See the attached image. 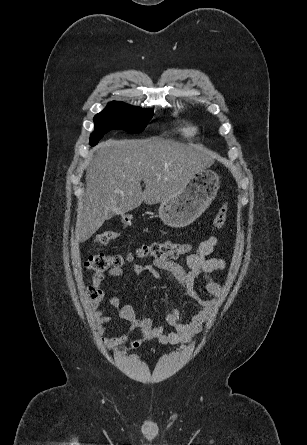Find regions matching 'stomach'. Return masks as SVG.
I'll return each instance as SVG.
<instances>
[{
	"label": "stomach",
	"instance_id": "0dacf381",
	"mask_svg": "<svg viewBox=\"0 0 307 445\" xmlns=\"http://www.w3.org/2000/svg\"><path fill=\"white\" fill-rule=\"evenodd\" d=\"M219 186L220 176L214 170L201 168L191 176L180 194L161 200L158 212L162 223L172 229L188 227L210 206Z\"/></svg>",
	"mask_w": 307,
	"mask_h": 445
}]
</instances>
